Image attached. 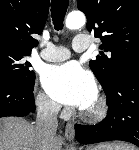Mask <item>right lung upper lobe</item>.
I'll return each instance as SVG.
<instances>
[{"label": "right lung upper lobe", "mask_w": 139, "mask_h": 150, "mask_svg": "<svg viewBox=\"0 0 139 150\" xmlns=\"http://www.w3.org/2000/svg\"><path fill=\"white\" fill-rule=\"evenodd\" d=\"M49 11V0H0V47L30 52Z\"/></svg>", "instance_id": "right-lung-upper-lobe-1"}]
</instances>
